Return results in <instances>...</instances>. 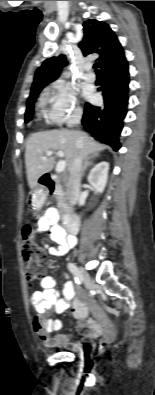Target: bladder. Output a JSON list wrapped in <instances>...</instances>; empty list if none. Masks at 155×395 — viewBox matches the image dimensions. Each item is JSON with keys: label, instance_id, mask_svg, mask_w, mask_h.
<instances>
[{"label": "bladder", "instance_id": "obj_1", "mask_svg": "<svg viewBox=\"0 0 155 395\" xmlns=\"http://www.w3.org/2000/svg\"><path fill=\"white\" fill-rule=\"evenodd\" d=\"M87 345H89V344H87ZM69 349H71L73 352L77 351V347H75V346H70Z\"/></svg>", "mask_w": 155, "mask_h": 395}]
</instances>
